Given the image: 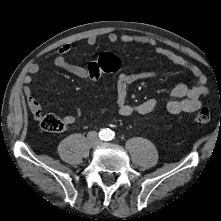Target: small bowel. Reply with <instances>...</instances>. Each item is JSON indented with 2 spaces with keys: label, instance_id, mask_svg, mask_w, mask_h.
I'll use <instances>...</instances> for the list:
<instances>
[{
  "label": "small bowel",
  "instance_id": "small-bowel-1",
  "mask_svg": "<svg viewBox=\"0 0 221 221\" xmlns=\"http://www.w3.org/2000/svg\"><path fill=\"white\" fill-rule=\"evenodd\" d=\"M109 43L115 44L119 40L130 43L135 42L145 46L151 47L158 55L166 58L175 66L188 70L196 79L193 86H187L185 84L176 85L171 91L172 99L167 103V110L172 114L191 113L197 111L201 107V97L207 94V78L202 71L194 64L188 62L184 57L178 53L166 49L157 44V42L151 37L138 35H123L119 37L116 33H109L107 36ZM97 38L95 36H89L87 38L88 45H95ZM72 44L65 43L58 50L56 57L54 58V64L82 79H89L88 66H82L69 61L66 55L71 51ZM39 72V66L36 63L28 65V73L24 78V83L30 85L34 82L32 75ZM155 72H141L135 74L121 73L118 76L116 83V101L119 114L124 117H130L132 115H145L152 112L157 107L156 99L150 98L144 100L138 104L128 103V88L129 85L140 79H150L156 77ZM24 95L27 100L28 107L32 114L38 118L41 113V107L33 96L32 90L26 86L24 88ZM67 126L74 124L75 118L71 115H65L62 118Z\"/></svg>",
  "mask_w": 221,
  "mask_h": 221
}]
</instances>
